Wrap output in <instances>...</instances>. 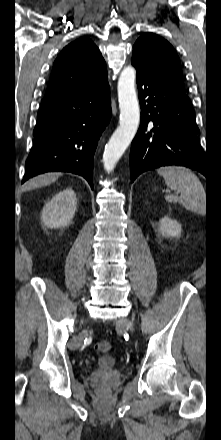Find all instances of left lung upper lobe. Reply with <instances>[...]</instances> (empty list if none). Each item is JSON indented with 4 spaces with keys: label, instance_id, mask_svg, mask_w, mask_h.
<instances>
[{
    "label": "left lung upper lobe",
    "instance_id": "1",
    "mask_svg": "<svg viewBox=\"0 0 221 440\" xmlns=\"http://www.w3.org/2000/svg\"><path fill=\"white\" fill-rule=\"evenodd\" d=\"M132 60L155 77L184 90L180 59L165 39L144 33L133 46Z\"/></svg>",
    "mask_w": 221,
    "mask_h": 440
}]
</instances>
